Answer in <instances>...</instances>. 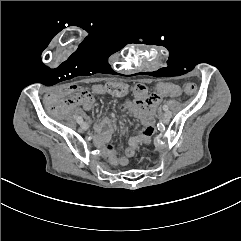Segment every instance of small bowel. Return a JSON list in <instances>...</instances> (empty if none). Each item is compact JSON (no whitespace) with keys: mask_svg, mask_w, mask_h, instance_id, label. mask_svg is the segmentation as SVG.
<instances>
[{"mask_svg":"<svg viewBox=\"0 0 241 241\" xmlns=\"http://www.w3.org/2000/svg\"><path fill=\"white\" fill-rule=\"evenodd\" d=\"M105 84L94 85L92 87V93L85 90H80L78 86L72 85L67 89V93L74 98L67 97L65 99V104L69 107L75 108L78 113L84 114L85 111L90 110L93 105V94H106L104 91ZM167 84L172 85V83ZM133 93L135 95V99L131 102L122 104L121 109L123 111L133 113L141 121L142 129L137 135L129 139L128 147L123 155L117 157L114 149L109 145L112 133L114 131L112 121L108 118H102L94 126V129L97 133L96 140L100 145H103L107 148L110 163L113 165L117 163L127 165L129 159L134 156L138 147L142 144L151 143L152 137L155 133V112L163 96H159L154 92L153 94L158 96L157 100L149 101L147 87L143 83L135 84ZM126 94L122 96H125ZM47 102L51 104L47 107V112L49 114H54L56 112L58 115H61L63 113V110L58 106V101L54 99L52 94L47 96ZM119 132L120 134H124L126 132V128L124 126L120 127ZM110 148L111 151L109 150Z\"/></svg>","mask_w":241,"mask_h":241,"instance_id":"obj_1","label":"small bowel"}]
</instances>
